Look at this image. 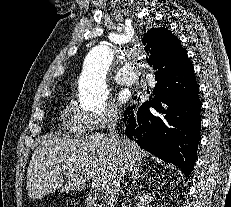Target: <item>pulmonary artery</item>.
I'll return each mask as SVG.
<instances>
[{"label": "pulmonary artery", "instance_id": "e3ab8cb5", "mask_svg": "<svg viewBox=\"0 0 231 207\" xmlns=\"http://www.w3.org/2000/svg\"><path fill=\"white\" fill-rule=\"evenodd\" d=\"M135 79L136 76L131 73V68L128 66L122 68L114 78L117 84L123 86L131 85Z\"/></svg>", "mask_w": 231, "mask_h": 207}]
</instances>
